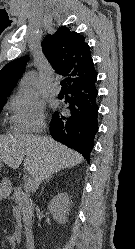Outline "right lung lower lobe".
Segmentation results:
<instances>
[{
	"instance_id": "1",
	"label": "right lung lower lobe",
	"mask_w": 135,
	"mask_h": 249,
	"mask_svg": "<svg viewBox=\"0 0 135 249\" xmlns=\"http://www.w3.org/2000/svg\"><path fill=\"white\" fill-rule=\"evenodd\" d=\"M97 73L69 86L65 103L70 115L59 117L55 112L50 124V134L57 141L79 152L88 162L98 132Z\"/></svg>"
}]
</instances>
